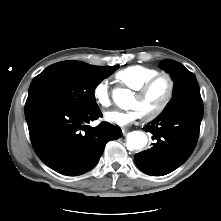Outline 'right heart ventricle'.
I'll list each match as a JSON object with an SVG mask.
<instances>
[{"mask_svg": "<svg viewBox=\"0 0 221 221\" xmlns=\"http://www.w3.org/2000/svg\"><path fill=\"white\" fill-rule=\"evenodd\" d=\"M159 74L154 68L145 66H129L116 74V79L125 87L136 90L150 78Z\"/></svg>", "mask_w": 221, "mask_h": 221, "instance_id": "right-heart-ventricle-1", "label": "right heart ventricle"}]
</instances>
